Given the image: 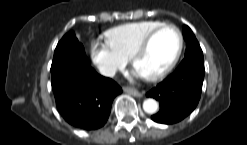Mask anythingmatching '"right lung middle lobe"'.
<instances>
[{"label":"right lung middle lobe","instance_id":"dd1d6c3e","mask_svg":"<svg viewBox=\"0 0 247 145\" xmlns=\"http://www.w3.org/2000/svg\"><path fill=\"white\" fill-rule=\"evenodd\" d=\"M84 53V47L77 38L73 31L67 33L57 44L54 52L53 62L62 59L65 56Z\"/></svg>","mask_w":247,"mask_h":145}]
</instances>
